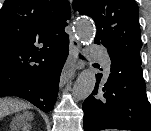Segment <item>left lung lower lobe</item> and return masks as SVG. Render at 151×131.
Here are the masks:
<instances>
[{"instance_id": "0a47b994", "label": "left lung lower lobe", "mask_w": 151, "mask_h": 131, "mask_svg": "<svg viewBox=\"0 0 151 131\" xmlns=\"http://www.w3.org/2000/svg\"><path fill=\"white\" fill-rule=\"evenodd\" d=\"M96 75V86L84 101V131L122 129L151 131V106L146 95L142 68L111 61L105 82Z\"/></svg>"}]
</instances>
